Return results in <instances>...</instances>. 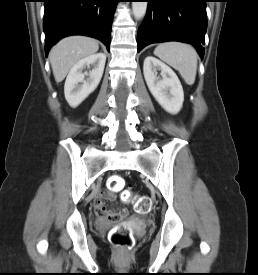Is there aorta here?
Returning a JSON list of instances; mask_svg holds the SVG:
<instances>
[{"label": "aorta", "mask_w": 258, "mask_h": 275, "mask_svg": "<svg viewBox=\"0 0 258 275\" xmlns=\"http://www.w3.org/2000/svg\"><path fill=\"white\" fill-rule=\"evenodd\" d=\"M132 10L135 19L139 20L143 18L147 10V2H133Z\"/></svg>", "instance_id": "aorta-1"}]
</instances>
